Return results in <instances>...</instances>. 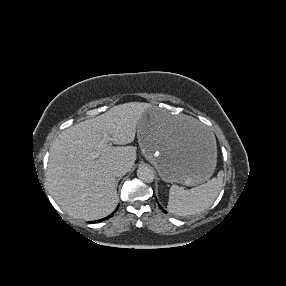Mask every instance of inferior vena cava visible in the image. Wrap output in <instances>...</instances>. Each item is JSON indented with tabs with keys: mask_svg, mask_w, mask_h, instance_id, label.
<instances>
[{
	"mask_svg": "<svg viewBox=\"0 0 286 286\" xmlns=\"http://www.w3.org/2000/svg\"><path fill=\"white\" fill-rule=\"evenodd\" d=\"M111 170L115 177H121L127 173V167L121 163L113 165Z\"/></svg>",
	"mask_w": 286,
	"mask_h": 286,
	"instance_id": "obj_1",
	"label": "inferior vena cava"
}]
</instances>
